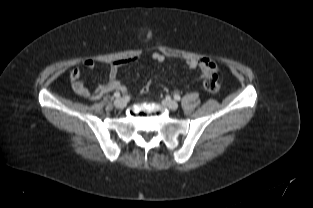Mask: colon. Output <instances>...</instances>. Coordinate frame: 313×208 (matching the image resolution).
I'll list each match as a JSON object with an SVG mask.
<instances>
[{"instance_id": "5ec220e1", "label": "colon", "mask_w": 313, "mask_h": 208, "mask_svg": "<svg viewBox=\"0 0 313 208\" xmlns=\"http://www.w3.org/2000/svg\"><path fill=\"white\" fill-rule=\"evenodd\" d=\"M204 87L207 91L212 92V93H216L219 92V90L221 89V84L219 81V76L217 71H213L211 73H209L205 78H204ZM149 90V83H147L142 91L143 92H147Z\"/></svg>"}]
</instances>
